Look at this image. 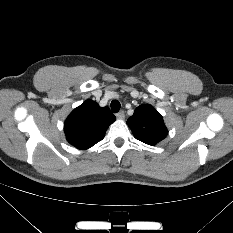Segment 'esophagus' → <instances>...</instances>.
Instances as JSON below:
<instances>
[{
	"label": "esophagus",
	"instance_id": "1",
	"mask_svg": "<svg viewBox=\"0 0 233 233\" xmlns=\"http://www.w3.org/2000/svg\"><path fill=\"white\" fill-rule=\"evenodd\" d=\"M116 116H117V118L118 119H124V117H125V113H124V111H120V112H118L117 114H116Z\"/></svg>",
	"mask_w": 233,
	"mask_h": 233
}]
</instances>
